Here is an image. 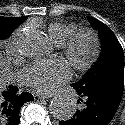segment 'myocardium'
<instances>
[{"label":"myocardium","mask_w":125,"mask_h":125,"mask_svg":"<svg viewBox=\"0 0 125 125\" xmlns=\"http://www.w3.org/2000/svg\"><path fill=\"white\" fill-rule=\"evenodd\" d=\"M84 40L88 41L85 52L81 50ZM62 48L63 54L75 70L86 71L94 65L100 55V39L98 34L90 29H79L68 37Z\"/></svg>","instance_id":"f54148a6"}]
</instances>
